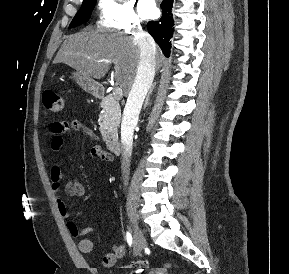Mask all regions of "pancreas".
<instances>
[{
    "instance_id": "1",
    "label": "pancreas",
    "mask_w": 289,
    "mask_h": 274,
    "mask_svg": "<svg viewBox=\"0 0 289 274\" xmlns=\"http://www.w3.org/2000/svg\"><path fill=\"white\" fill-rule=\"evenodd\" d=\"M102 112L99 115V130L103 139L108 142L117 135L121 113L119 101L112 95L104 97L100 103Z\"/></svg>"
}]
</instances>
